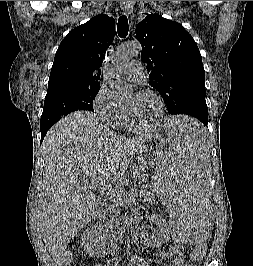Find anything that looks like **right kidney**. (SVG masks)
<instances>
[{
  "mask_svg": "<svg viewBox=\"0 0 253 266\" xmlns=\"http://www.w3.org/2000/svg\"><path fill=\"white\" fill-rule=\"evenodd\" d=\"M107 233L98 226H91L85 229L81 235V245L84 251L91 257H102L106 254Z\"/></svg>",
  "mask_w": 253,
  "mask_h": 266,
  "instance_id": "ca27d5eb",
  "label": "right kidney"
}]
</instances>
